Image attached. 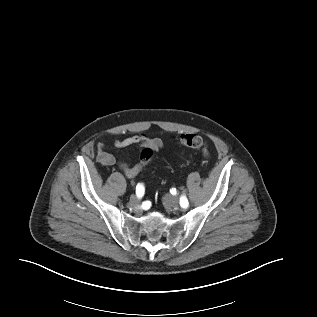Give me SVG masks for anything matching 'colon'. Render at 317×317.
I'll return each instance as SVG.
<instances>
[{"label":"colon","mask_w":317,"mask_h":317,"mask_svg":"<svg viewBox=\"0 0 317 317\" xmlns=\"http://www.w3.org/2000/svg\"><path fill=\"white\" fill-rule=\"evenodd\" d=\"M180 143L188 148H199L203 144L201 136L195 133L182 134L179 138ZM154 149L151 146H146L140 153V161L146 165L153 157Z\"/></svg>","instance_id":"obj_1"}]
</instances>
